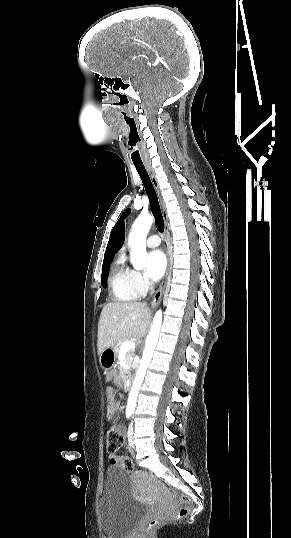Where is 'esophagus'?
<instances>
[{
	"mask_svg": "<svg viewBox=\"0 0 291 538\" xmlns=\"http://www.w3.org/2000/svg\"><path fill=\"white\" fill-rule=\"evenodd\" d=\"M146 168H147V171L149 173V176H150L151 182L153 184V187H154V189L156 191V194H157V197H158V200H159V203H160L164 223H165L164 243H165V246H166L167 268H166V273L164 275V278H163L159 288L157 289V291L154 294V296L152 298V301H151V305L155 306L160 301V299H161V297L163 295V292L165 290L167 280L169 278V272H170V267H171V245H170V234H169V219H168V215H167V211H166V208H165L164 201H163L162 196H161V191H160V188H159V184H158V181H157V179L155 177V174H154L151 166L147 164Z\"/></svg>",
	"mask_w": 291,
	"mask_h": 538,
	"instance_id": "esophagus-1",
	"label": "esophagus"
}]
</instances>
